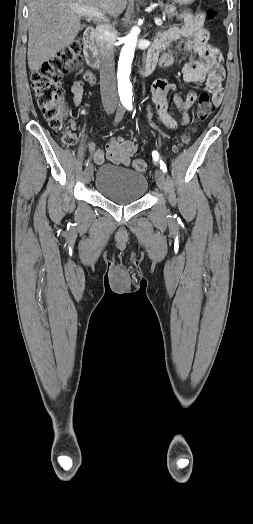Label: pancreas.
I'll list each match as a JSON object with an SVG mask.
<instances>
[{
  "label": "pancreas",
  "instance_id": "obj_1",
  "mask_svg": "<svg viewBox=\"0 0 253 524\" xmlns=\"http://www.w3.org/2000/svg\"><path fill=\"white\" fill-rule=\"evenodd\" d=\"M164 7L163 15H167L168 17H173L177 15L176 7L173 5H162Z\"/></svg>",
  "mask_w": 253,
  "mask_h": 524
}]
</instances>
